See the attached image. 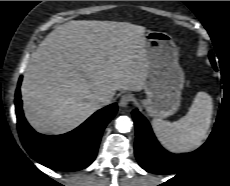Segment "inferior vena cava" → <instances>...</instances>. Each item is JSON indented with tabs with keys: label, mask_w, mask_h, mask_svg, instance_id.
I'll use <instances>...</instances> for the list:
<instances>
[{
	"label": "inferior vena cava",
	"mask_w": 230,
	"mask_h": 186,
	"mask_svg": "<svg viewBox=\"0 0 230 186\" xmlns=\"http://www.w3.org/2000/svg\"><path fill=\"white\" fill-rule=\"evenodd\" d=\"M97 100L100 103V105L104 106V105H107L111 101V98L106 95H101L97 98Z\"/></svg>",
	"instance_id": "inferior-vena-cava-1"
}]
</instances>
